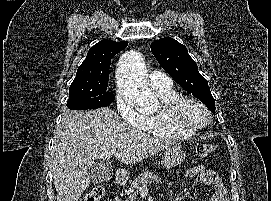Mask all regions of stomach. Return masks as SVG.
<instances>
[{
	"mask_svg": "<svg viewBox=\"0 0 271 201\" xmlns=\"http://www.w3.org/2000/svg\"><path fill=\"white\" fill-rule=\"evenodd\" d=\"M186 151L180 146L167 148L162 155V164L167 168L176 167L184 162Z\"/></svg>",
	"mask_w": 271,
	"mask_h": 201,
	"instance_id": "0dacf381",
	"label": "stomach"
}]
</instances>
